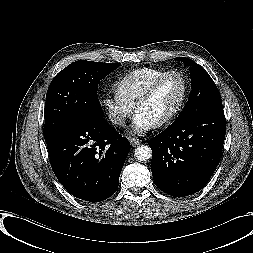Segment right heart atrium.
I'll use <instances>...</instances> for the list:
<instances>
[{
	"mask_svg": "<svg viewBox=\"0 0 253 253\" xmlns=\"http://www.w3.org/2000/svg\"><path fill=\"white\" fill-rule=\"evenodd\" d=\"M101 105L107 119L117 127H124L134 111V106L125 101L116 92L103 97Z\"/></svg>",
	"mask_w": 253,
	"mask_h": 253,
	"instance_id": "right-heart-atrium-1",
	"label": "right heart atrium"
}]
</instances>
